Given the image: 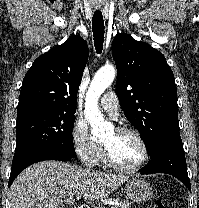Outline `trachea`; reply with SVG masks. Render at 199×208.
I'll return each instance as SVG.
<instances>
[{
    "mask_svg": "<svg viewBox=\"0 0 199 208\" xmlns=\"http://www.w3.org/2000/svg\"><path fill=\"white\" fill-rule=\"evenodd\" d=\"M92 31L94 37V45L98 54L103 49L104 42V21L101 11L96 10L92 18Z\"/></svg>",
    "mask_w": 199,
    "mask_h": 208,
    "instance_id": "obj_1",
    "label": "trachea"
}]
</instances>
